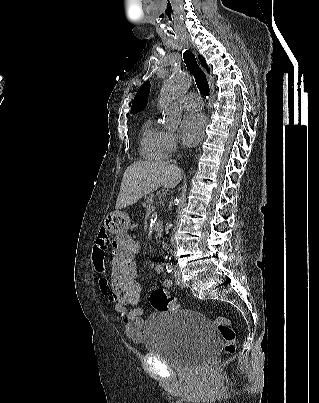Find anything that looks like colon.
<instances>
[{
	"instance_id": "colon-1",
	"label": "colon",
	"mask_w": 319,
	"mask_h": 403,
	"mask_svg": "<svg viewBox=\"0 0 319 403\" xmlns=\"http://www.w3.org/2000/svg\"><path fill=\"white\" fill-rule=\"evenodd\" d=\"M113 246L115 252L111 253L110 271L113 273V300L116 304H125L126 313H143L139 291L141 282L134 278V268H139L138 254L140 240L137 234H113ZM149 302L156 311H171L177 308V304L164 289H155L149 295ZM221 337L224 340L223 354H233L236 348L235 332L225 323L218 326ZM220 365L218 358L212 359L202 377L209 381L213 372Z\"/></svg>"
}]
</instances>
